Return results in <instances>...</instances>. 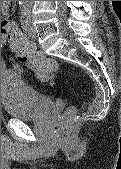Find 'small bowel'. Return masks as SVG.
I'll return each instance as SVG.
<instances>
[{"label":"small bowel","instance_id":"1","mask_svg":"<svg viewBox=\"0 0 121 169\" xmlns=\"http://www.w3.org/2000/svg\"><path fill=\"white\" fill-rule=\"evenodd\" d=\"M9 5H10V1H1V10L4 14H6L8 12ZM11 28H15L18 30L17 26L13 22H11L9 20H4L2 22V24H1V29H2L1 45H4L6 42L4 33ZM2 67H6V64L2 63ZM13 68L16 70H20V66L17 64H14Z\"/></svg>","mask_w":121,"mask_h":169}]
</instances>
